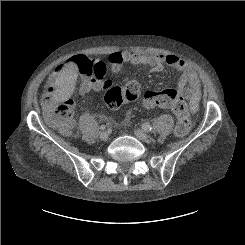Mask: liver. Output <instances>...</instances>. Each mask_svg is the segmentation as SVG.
Instances as JSON below:
<instances>
[{"mask_svg": "<svg viewBox=\"0 0 245 245\" xmlns=\"http://www.w3.org/2000/svg\"><path fill=\"white\" fill-rule=\"evenodd\" d=\"M78 68L74 63H69L58 75L57 87L53 92L54 102H60L69 98L75 88Z\"/></svg>", "mask_w": 245, "mask_h": 245, "instance_id": "1", "label": "liver"}]
</instances>
